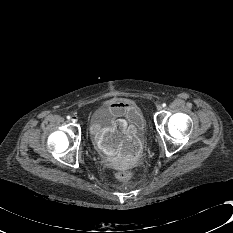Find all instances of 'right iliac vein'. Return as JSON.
<instances>
[{
    "mask_svg": "<svg viewBox=\"0 0 233 233\" xmlns=\"http://www.w3.org/2000/svg\"><path fill=\"white\" fill-rule=\"evenodd\" d=\"M72 122L76 123L77 122V118H72Z\"/></svg>",
    "mask_w": 233,
    "mask_h": 233,
    "instance_id": "63e3f726",
    "label": "right iliac vein"
}]
</instances>
